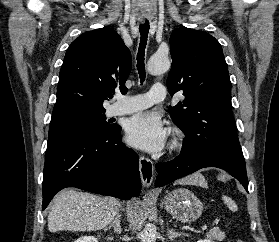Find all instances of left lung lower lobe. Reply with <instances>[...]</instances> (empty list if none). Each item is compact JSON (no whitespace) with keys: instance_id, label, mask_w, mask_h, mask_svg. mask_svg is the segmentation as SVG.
Returning <instances> with one entry per match:
<instances>
[{"instance_id":"obj_1","label":"left lung lower lobe","mask_w":279,"mask_h":242,"mask_svg":"<svg viewBox=\"0 0 279 242\" xmlns=\"http://www.w3.org/2000/svg\"><path fill=\"white\" fill-rule=\"evenodd\" d=\"M205 167H217L229 172L248 191L244 157L222 152L181 153L172 161L158 163L155 186L167 185Z\"/></svg>"}]
</instances>
